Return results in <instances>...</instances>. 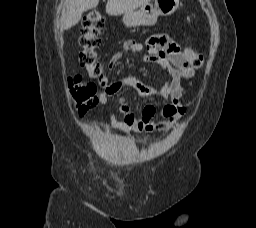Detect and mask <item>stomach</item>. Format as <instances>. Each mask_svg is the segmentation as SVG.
Here are the masks:
<instances>
[{
    "mask_svg": "<svg viewBox=\"0 0 256 228\" xmlns=\"http://www.w3.org/2000/svg\"><path fill=\"white\" fill-rule=\"evenodd\" d=\"M139 9L127 11L123 16V23L127 27L151 26L157 23L159 15L169 16L179 7L180 0H153Z\"/></svg>",
    "mask_w": 256,
    "mask_h": 228,
    "instance_id": "stomach-1",
    "label": "stomach"
}]
</instances>
